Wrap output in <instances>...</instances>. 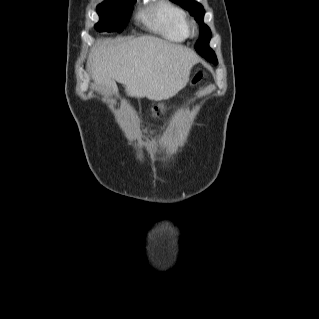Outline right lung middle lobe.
<instances>
[{
    "label": "right lung middle lobe",
    "mask_w": 319,
    "mask_h": 319,
    "mask_svg": "<svg viewBox=\"0 0 319 319\" xmlns=\"http://www.w3.org/2000/svg\"><path fill=\"white\" fill-rule=\"evenodd\" d=\"M133 0H108L97 6L100 21L95 25L98 31L121 32L131 15Z\"/></svg>",
    "instance_id": "dd1d6c3e"
}]
</instances>
